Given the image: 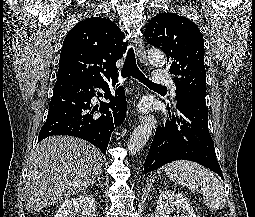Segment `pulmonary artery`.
I'll list each match as a JSON object with an SVG mask.
<instances>
[{
    "mask_svg": "<svg viewBox=\"0 0 255 217\" xmlns=\"http://www.w3.org/2000/svg\"><path fill=\"white\" fill-rule=\"evenodd\" d=\"M154 81L159 85H166L172 89L173 94L175 95V84L173 79L165 73H161L160 71H156L154 74Z\"/></svg>",
    "mask_w": 255,
    "mask_h": 217,
    "instance_id": "1",
    "label": "pulmonary artery"
}]
</instances>
